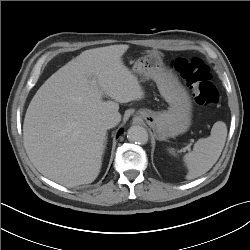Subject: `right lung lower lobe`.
<instances>
[{
    "label": "right lung lower lobe",
    "mask_w": 250,
    "mask_h": 250,
    "mask_svg": "<svg viewBox=\"0 0 250 250\" xmlns=\"http://www.w3.org/2000/svg\"><path fill=\"white\" fill-rule=\"evenodd\" d=\"M122 133V130L118 133V135H120Z\"/></svg>",
    "instance_id": "98d812e1"
}]
</instances>
